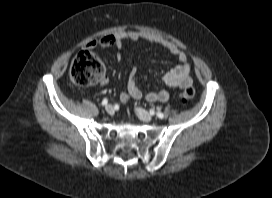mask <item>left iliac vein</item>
Listing matches in <instances>:
<instances>
[{
    "mask_svg": "<svg viewBox=\"0 0 272 198\" xmlns=\"http://www.w3.org/2000/svg\"><path fill=\"white\" fill-rule=\"evenodd\" d=\"M135 112L137 116L144 122H150L152 120L151 114L143 108L137 107L135 108Z\"/></svg>",
    "mask_w": 272,
    "mask_h": 198,
    "instance_id": "obj_1",
    "label": "left iliac vein"
}]
</instances>
